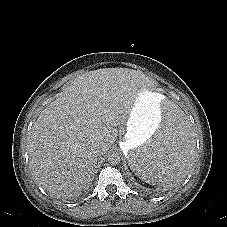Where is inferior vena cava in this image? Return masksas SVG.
<instances>
[{
    "instance_id": "inferior-vena-cava-1",
    "label": "inferior vena cava",
    "mask_w": 227,
    "mask_h": 227,
    "mask_svg": "<svg viewBox=\"0 0 227 227\" xmlns=\"http://www.w3.org/2000/svg\"><path fill=\"white\" fill-rule=\"evenodd\" d=\"M105 149H106V145L103 144V143H101V144L97 145V147H96V149H95V153H96L97 155H101V154L104 153Z\"/></svg>"
}]
</instances>
